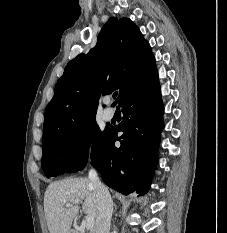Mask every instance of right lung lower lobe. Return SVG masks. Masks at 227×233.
<instances>
[{"label":"right lung lower lobe","instance_id":"obj_1","mask_svg":"<svg viewBox=\"0 0 227 233\" xmlns=\"http://www.w3.org/2000/svg\"><path fill=\"white\" fill-rule=\"evenodd\" d=\"M123 123L110 128L92 165L110 188L127 195L145 194L158 164L157 151L163 129V104L159 82H155L122 105ZM123 134L118 137L117 133ZM115 141L121 146L115 147Z\"/></svg>","mask_w":227,"mask_h":233}]
</instances>
